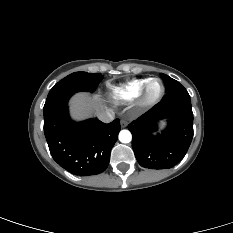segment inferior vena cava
I'll return each mask as SVG.
<instances>
[{
    "label": "inferior vena cava",
    "mask_w": 233,
    "mask_h": 233,
    "mask_svg": "<svg viewBox=\"0 0 233 233\" xmlns=\"http://www.w3.org/2000/svg\"><path fill=\"white\" fill-rule=\"evenodd\" d=\"M96 114L98 119L104 123H110L111 121L114 120V112L111 110L106 109V110L98 111Z\"/></svg>",
    "instance_id": "602c4592"
}]
</instances>
